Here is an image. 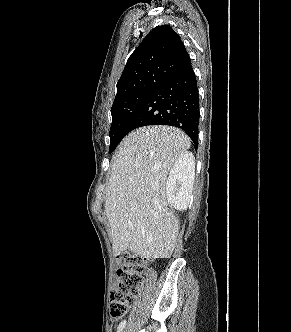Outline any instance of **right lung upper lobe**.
I'll return each instance as SVG.
<instances>
[{"label":"right lung upper lobe","mask_w":291,"mask_h":332,"mask_svg":"<svg viewBox=\"0 0 291 332\" xmlns=\"http://www.w3.org/2000/svg\"><path fill=\"white\" fill-rule=\"evenodd\" d=\"M190 64L179 35L169 25L157 26L129 57L117 83L115 100L147 89Z\"/></svg>","instance_id":"cb5924a9"}]
</instances>
